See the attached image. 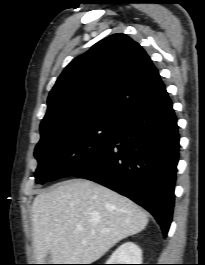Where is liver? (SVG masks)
Returning <instances> with one entry per match:
<instances>
[{
	"label": "liver",
	"mask_w": 205,
	"mask_h": 265,
	"mask_svg": "<svg viewBox=\"0 0 205 265\" xmlns=\"http://www.w3.org/2000/svg\"><path fill=\"white\" fill-rule=\"evenodd\" d=\"M31 212L38 264L48 253L54 264H92L148 223L147 213L128 198L81 179L39 193Z\"/></svg>",
	"instance_id": "6515ba94"
}]
</instances>
